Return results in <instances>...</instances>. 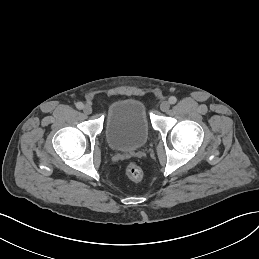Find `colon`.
I'll return each mask as SVG.
<instances>
[{"label": "colon", "mask_w": 259, "mask_h": 259, "mask_svg": "<svg viewBox=\"0 0 259 259\" xmlns=\"http://www.w3.org/2000/svg\"><path fill=\"white\" fill-rule=\"evenodd\" d=\"M126 174L130 180L135 182L140 181L143 177L141 168L135 163H131L127 166Z\"/></svg>", "instance_id": "colon-1"}]
</instances>
